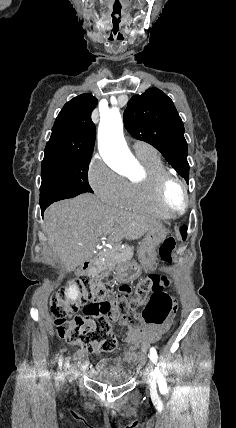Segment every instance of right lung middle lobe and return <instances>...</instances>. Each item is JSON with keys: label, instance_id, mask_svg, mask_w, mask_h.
Returning <instances> with one entry per match:
<instances>
[{"label": "right lung middle lobe", "instance_id": "dd1d6c3e", "mask_svg": "<svg viewBox=\"0 0 236 428\" xmlns=\"http://www.w3.org/2000/svg\"><path fill=\"white\" fill-rule=\"evenodd\" d=\"M88 157H44L40 205L75 197L81 193H93L88 183Z\"/></svg>", "mask_w": 236, "mask_h": 428}]
</instances>
